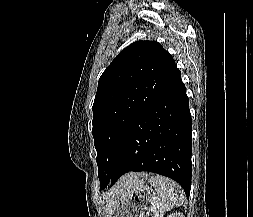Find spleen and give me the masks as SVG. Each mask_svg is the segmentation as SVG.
Returning <instances> with one entry per match:
<instances>
[{
  "label": "spleen",
  "mask_w": 253,
  "mask_h": 217,
  "mask_svg": "<svg viewBox=\"0 0 253 217\" xmlns=\"http://www.w3.org/2000/svg\"><path fill=\"white\" fill-rule=\"evenodd\" d=\"M149 182L159 194V198L154 200L153 204L160 212H167L182 204L183 192L176 182L160 175L151 176Z\"/></svg>",
  "instance_id": "1"
}]
</instances>
